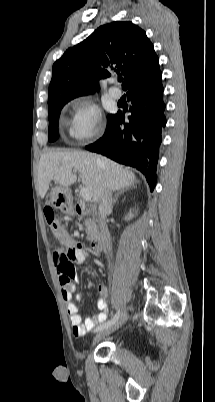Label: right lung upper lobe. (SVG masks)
I'll use <instances>...</instances> for the list:
<instances>
[{
	"label": "right lung upper lobe",
	"instance_id": "right-lung-upper-lobe-1",
	"mask_svg": "<svg viewBox=\"0 0 215 402\" xmlns=\"http://www.w3.org/2000/svg\"><path fill=\"white\" fill-rule=\"evenodd\" d=\"M114 73L124 76L122 87L127 91L162 76L153 44L144 30L129 21L100 26L66 50L53 65L48 104L91 94L100 78Z\"/></svg>",
	"mask_w": 215,
	"mask_h": 402
}]
</instances>
